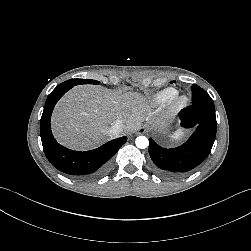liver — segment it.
Returning a JSON list of instances; mask_svg holds the SVG:
<instances>
[{
  "instance_id": "6515ba94",
  "label": "liver",
  "mask_w": 251,
  "mask_h": 251,
  "mask_svg": "<svg viewBox=\"0 0 251 251\" xmlns=\"http://www.w3.org/2000/svg\"><path fill=\"white\" fill-rule=\"evenodd\" d=\"M150 116L146 100L136 93L122 94L87 85L74 88L59 102L53 115V128L63 144L85 149L112 137L109 131L116 121L131 130ZM181 133L178 129L174 134Z\"/></svg>"
}]
</instances>
